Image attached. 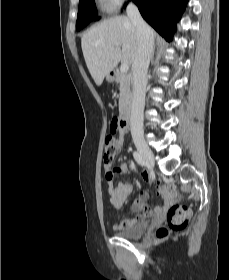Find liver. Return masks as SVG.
<instances>
[{
	"instance_id": "liver-1",
	"label": "liver",
	"mask_w": 229,
	"mask_h": 280,
	"mask_svg": "<svg viewBox=\"0 0 229 280\" xmlns=\"http://www.w3.org/2000/svg\"><path fill=\"white\" fill-rule=\"evenodd\" d=\"M81 46L87 68L100 86L120 61L133 63L138 50L136 27L127 16L108 18L82 36Z\"/></svg>"
}]
</instances>
